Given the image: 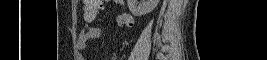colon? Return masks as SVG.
<instances>
[{"mask_svg": "<svg viewBox=\"0 0 267 60\" xmlns=\"http://www.w3.org/2000/svg\"><path fill=\"white\" fill-rule=\"evenodd\" d=\"M103 11L102 0H85L83 3L84 19L92 21L97 18Z\"/></svg>", "mask_w": 267, "mask_h": 60, "instance_id": "1", "label": "colon"}]
</instances>
